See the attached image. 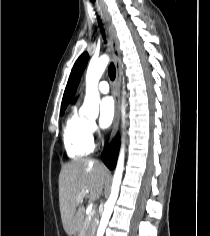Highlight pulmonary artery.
Masks as SVG:
<instances>
[{
	"label": "pulmonary artery",
	"instance_id": "pulmonary-artery-1",
	"mask_svg": "<svg viewBox=\"0 0 210 236\" xmlns=\"http://www.w3.org/2000/svg\"><path fill=\"white\" fill-rule=\"evenodd\" d=\"M98 90H99L100 93H104V94L108 93L109 92L108 83L105 82V81L100 82L99 85H98Z\"/></svg>",
	"mask_w": 210,
	"mask_h": 236
}]
</instances>
